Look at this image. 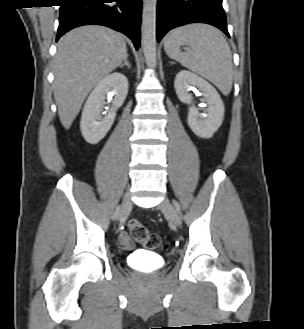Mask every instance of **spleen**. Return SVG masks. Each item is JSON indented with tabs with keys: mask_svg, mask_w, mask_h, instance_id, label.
Listing matches in <instances>:
<instances>
[{
	"mask_svg": "<svg viewBox=\"0 0 304 329\" xmlns=\"http://www.w3.org/2000/svg\"><path fill=\"white\" fill-rule=\"evenodd\" d=\"M181 45H188L190 50L182 52ZM164 49L170 58L212 82L224 95L231 92L232 55L215 27L201 23L178 27L167 35Z\"/></svg>",
	"mask_w": 304,
	"mask_h": 329,
	"instance_id": "1",
	"label": "spleen"
}]
</instances>
